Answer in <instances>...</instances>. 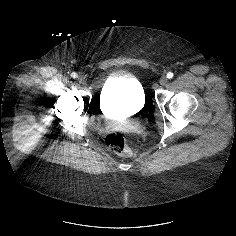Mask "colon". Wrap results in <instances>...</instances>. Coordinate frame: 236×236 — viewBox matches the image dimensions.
<instances>
[{
	"label": "colon",
	"instance_id": "colon-1",
	"mask_svg": "<svg viewBox=\"0 0 236 236\" xmlns=\"http://www.w3.org/2000/svg\"><path fill=\"white\" fill-rule=\"evenodd\" d=\"M105 143L115 153L124 156L132 154V150L128 147L124 136L119 132L109 133L105 138Z\"/></svg>",
	"mask_w": 236,
	"mask_h": 236
}]
</instances>
